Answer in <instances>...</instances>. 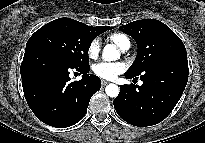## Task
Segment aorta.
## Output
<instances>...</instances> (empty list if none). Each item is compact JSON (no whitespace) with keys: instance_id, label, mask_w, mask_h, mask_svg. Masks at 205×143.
<instances>
[{"instance_id":"762f6f07","label":"aorta","mask_w":205,"mask_h":143,"mask_svg":"<svg viewBox=\"0 0 205 143\" xmlns=\"http://www.w3.org/2000/svg\"><path fill=\"white\" fill-rule=\"evenodd\" d=\"M102 57L105 61H114L119 59L120 52L116 49L115 45L107 44L102 53ZM105 92L109 97L115 98L119 94V87L116 84H108L105 88Z\"/></svg>"}]
</instances>
